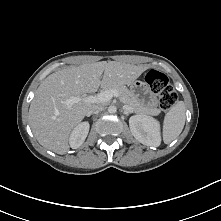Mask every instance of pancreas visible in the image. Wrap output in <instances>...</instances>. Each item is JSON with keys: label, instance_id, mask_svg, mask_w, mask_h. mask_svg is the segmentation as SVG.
<instances>
[{"label": "pancreas", "instance_id": "1", "mask_svg": "<svg viewBox=\"0 0 221 221\" xmlns=\"http://www.w3.org/2000/svg\"><path fill=\"white\" fill-rule=\"evenodd\" d=\"M102 89H103L102 91L116 90L119 93L120 100L124 104H127L132 111L141 114H151V115H158L160 113L159 109L142 104L134 96V94L130 90H128L124 85L121 84L106 85L103 86Z\"/></svg>", "mask_w": 221, "mask_h": 221}]
</instances>
